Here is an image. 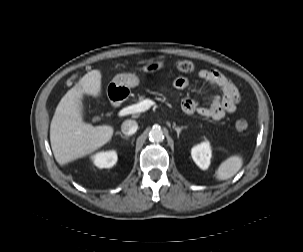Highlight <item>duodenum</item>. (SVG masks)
Listing matches in <instances>:
<instances>
[{
    "label": "duodenum",
    "mask_w": 303,
    "mask_h": 252,
    "mask_svg": "<svg viewBox=\"0 0 303 252\" xmlns=\"http://www.w3.org/2000/svg\"><path fill=\"white\" fill-rule=\"evenodd\" d=\"M126 89L123 86L116 87L111 93L110 98L112 100V106L118 107L121 101L125 98Z\"/></svg>",
    "instance_id": "1"
}]
</instances>
